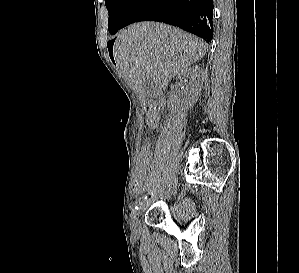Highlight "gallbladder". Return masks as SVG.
I'll return each instance as SVG.
<instances>
[{
  "label": "gallbladder",
  "instance_id": "obj_1",
  "mask_svg": "<svg viewBox=\"0 0 299 273\" xmlns=\"http://www.w3.org/2000/svg\"><path fill=\"white\" fill-rule=\"evenodd\" d=\"M143 86L146 89V91L150 94V97H152L153 83L149 76L144 79Z\"/></svg>",
  "mask_w": 299,
  "mask_h": 273
}]
</instances>
